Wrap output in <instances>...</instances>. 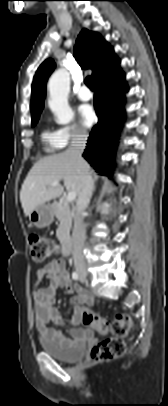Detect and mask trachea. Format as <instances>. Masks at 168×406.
Segmentation results:
<instances>
[{"label": "trachea", "instance_id": "trachea-1", "mask_svg": "<svg viewBox=\"0 0 168 406\" xmlns=\"http://www.w3.org/2000/svg\"><path fill=\"white\" fill-rule=\"evenodd\" d=\"M85 84L87 85V87L90 90H92V91L94 90V83H93V80H92V78L90 76L86 77Z\"/></svg>", "mask_w": 168, "mask_h": 406}]
</instances>
